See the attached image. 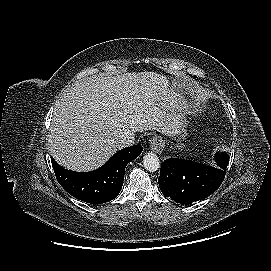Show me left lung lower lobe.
Instances as JSON below:
<instances>
[{
  "label": "left lung lower lobe",
  "mask_w": 271,
  "mask_h": 271,
  "mask_svg": "<svg viewBox=\"0 0 271 271\" xmlns=\"http://www.w3.org/2000/svg\"><path fill=\"white\" fill-rule=\"evenodd\" d=\"M217 160L216 166L171 158L161 165L158 183L166 197L180 204L203 200L215 192L226 175L227 162Z\"/></svg>",
  "instance_id": "1"
}]
</instances>
